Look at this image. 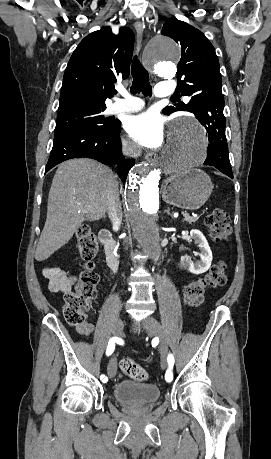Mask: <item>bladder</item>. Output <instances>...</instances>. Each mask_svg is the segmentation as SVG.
<instances>
[{
	"instance_id": "31cf9c89",
	"label": "bladder",
	"mask_w": 271,
	"mask_h": 459,
	"mask_svg": "<svg viewBox=\"0 0 271 459\" xmlns=\"http://www.w3.org/2000/svg\"><path fill=\"white\" fill-rule=\"evenodd\" d=\"M161 390L156 385L135 381L117 383L113 389L116 402L123 405H150L160 397Z\"/></svg>"
}]
</instances>
